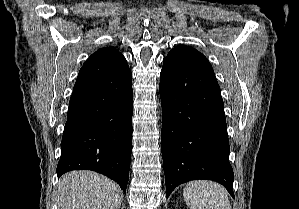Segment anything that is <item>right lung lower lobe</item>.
<instances>
[{"instance_id": "obj_1", "label": "right lung lower lobe", "mask_w": 299, "mask_h": 209, "mask_svg": "<svg viewBox=\"0 0 299 209\" xmlns=\"http://www.w3.org/2000/svg\"><path fill=\"white\" fill-rule=\"evenodd\" d=\"M132 75L105 69L79 72L70 98L57 175L99 172L126 192L132 144Z\"/></svg>"}]
</instances>
